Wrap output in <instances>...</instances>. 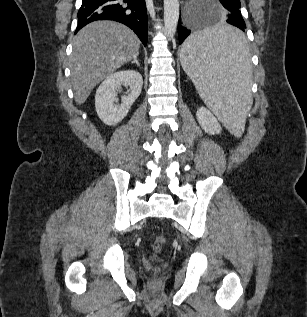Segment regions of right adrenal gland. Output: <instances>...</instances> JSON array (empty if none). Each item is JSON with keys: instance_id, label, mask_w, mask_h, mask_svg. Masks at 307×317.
Wrapping results in <instances>:
<instances>
[{"instance_id": "right-adrenal-gland-1", "label": "right adrenal gland", "mask_w": 307, "mask_h": 317, "mask_svg": "<svg viewBox=\"0 0 307 317\" xmlns=\"http://www.w3.org/2000/svg\"><path fill=\"white\" fill-rule=\"evenodd\" d=\"M131 63H132V64H133V63H136L137 66H140V64H139V62H138V60H137V56H135V57L133 58V61H131Z\"/></svg>"}]
</instances>
